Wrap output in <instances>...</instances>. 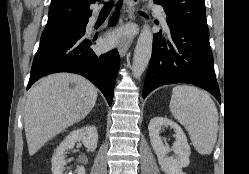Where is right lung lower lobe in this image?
<instances>
[{
    "mask_svg": "<svg viewBox=\"0 0 249 174\" xmlns=\"http://www.w3.org/2000/svg\"><path fill=\"white\" fill-rule=\"evenodd\" d=\"M122 2L119 3L121 6ZM119 8L110 24L117 21ZM88 19L81 25L66 29L46 43L39 45L34 57L27 89L43 76L57 72H71L82 75L96 85L106 97L109 105L113 100V91L119 69L117 50L96 55L87 39L85 28Z\"/></svg>",
    "mask_w": 249,
    "mask_h": 174,
    "instance_id": "98d812e1",
    "label": "right lung lower lobe"
}]
</instances>
